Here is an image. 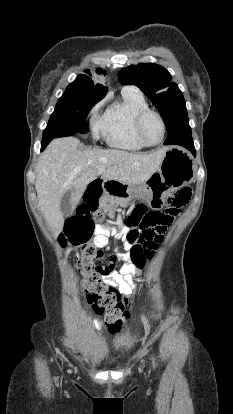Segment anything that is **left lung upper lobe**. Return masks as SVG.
<instances>
[{"label": "left lung upper lobe", "mask_w": 233, "mask_h": 414, "mask_svg": "<svg viewBox=\"0 0 233 414\" xmlns=\"http://www.w3.org/2000/svg\"><path fill=\"white\" fill-rule=\"evenodd\" d=\"M118 77L123 85H136L151 98L163 118L167 131L181 116L187 114L182 92L176 83L171 82L170 73L162 66L154 63L131 65L122 69Z\"/></svg>", "instance_id": "left-lung-upper-lobe-1"}]
</instances>
